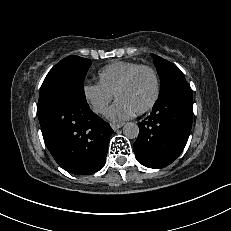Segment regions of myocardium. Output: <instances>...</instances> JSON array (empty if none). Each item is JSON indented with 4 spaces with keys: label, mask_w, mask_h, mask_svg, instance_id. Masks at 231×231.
I'll use <instances>...</instances> for the list:
<instances>
[{
    "label": "myocardium",
    "mask_w": 231,
    "mask_h": 231,
    "mask_svg": "<svg viewBox=\"0 0 231 231\" xmlns=\"http://www.w3.org/2000/svg\"><path fill=\"white\" fill-rule=\"evenodd\" d=\"M144 70L149 71L152 74L154 78V83H155V90H154V94L150 102L147 105H145L143 108L135 112L136 114H139V115L151 110L159 99V96L161 93V82H160V77H159L157 70L154 67L149 66V65H139L138 67L133 69L124 78V80L120 83V85L117 87L115 91V97L118 99L119 93L131 84V82L133 81V79L136 77L138 73Z\"/></svg>",
    "instance_id": "myocardium-1"
}]
</instances>
